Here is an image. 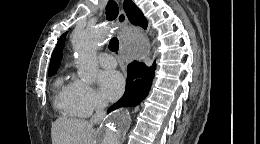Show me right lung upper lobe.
I'll return each instance as SVG.
<instances>
[{
	"mask_svg": "<svg viewBox=\"0 0 260 144\" xmlns=\"http://www.w3.org/2000/svg\"><path fill=\"white\" fill-rule=\"evenodd\" d=\"M124 10L125 13L129 19V21L134 24V25H139L143 27L144 29L147 28V20L143 16V13L140 11V9L131 1V0H125L124 1ZM65 36L66 33H64L54 51L50 60V67H49V72L50 71H57V68L59 67L60 60L62 58V50L64 48V42H65Z\"/></svg>",
	"mask_w": 260,
	"mask_h": 144,
	"instance_id": "obj_1",
	"label": "right lung upper lobe"
}]
</instances>
